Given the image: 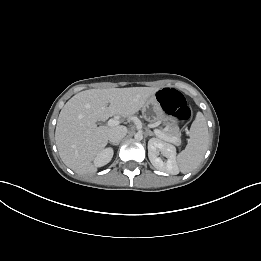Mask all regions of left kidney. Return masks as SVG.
Masks as SVG:
<instances>
[{
	"instance_id": "left-kidney-1",
	"label": "left kidney",
	"mask_w": 261,
	"mask_h": 261,
	"mask_svg": "<svg viewBox=\"0 0 261 261\" xmlns=\"http://www.w3.org/2000/svg\"><path fill=\"white\" fill-rule=\"evenodd\" d=\"M159 152L167 158L166 162L158 157ZM148 157L156 169L172 175L178 174L176 148L173 145L163 142L160 139L152 138L148 141Z\"/></svg>"
}]
</instances>
